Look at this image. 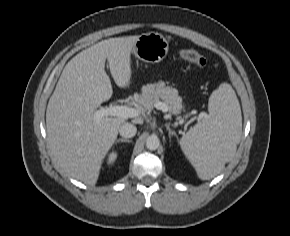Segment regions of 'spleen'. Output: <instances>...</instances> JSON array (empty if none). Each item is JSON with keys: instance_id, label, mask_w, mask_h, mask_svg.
Masks as SVG:
<instances>
[{"instance_id": "obj_1", "label": "spleen", "mask_w": 290, "mask_h": 236, "mask_svg": "<svg viewBox=\"0 0 290 236\" xmlns=\"http://www.w3.org/2000/svg\"><path fill=\"white\" fill-rule=\"evenodd\" d=\"M242 115L233 88L223 83L209 98L208 114L181 138L185 156L202 180L218 175L235 155Z\"/></svg>"}]
</instances>
